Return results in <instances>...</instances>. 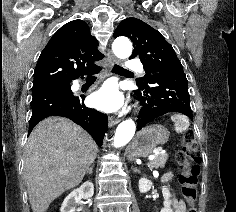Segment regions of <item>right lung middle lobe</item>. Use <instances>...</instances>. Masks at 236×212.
Returning a JSON list of instances; mask_svg holds the SVG:
<instances>
[{"mask_svg": "<svg viewBox=\"0 0 236 212\" xmlns=\"http://www.w3.org/2000/svg\"><path fill=\"white\" fill-rule=\"evenodd\" d=\"M65 88L69 89V86H64Z\"/></svg>", "mask_w": 236, "mask_h": 212, "instance_id": "obj_1", "label": "right lung middle lobe"}]
</instances>
